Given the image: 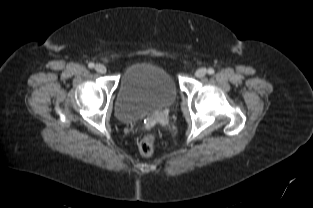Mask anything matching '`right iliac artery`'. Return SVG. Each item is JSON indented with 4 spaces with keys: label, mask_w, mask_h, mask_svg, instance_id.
Listing matches in <instances>:
<instances>
[{
    "label": "right iliac artery",
    "mask_w": 313,
    "mask_h": 208,
    "mask_svg": "<svg viewBox=\"0 0 313 208\" xmlns=\"http://www.w3.org/2000/svg\"><path fill=\"white\" fill-rule=\"evenodd\" d=\"M88 67H89V68H93V67H94V63L90 62V63L88 64Z\"/></svg>",
    "instance_id": "obj_1"
}]
</instances>
